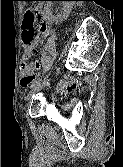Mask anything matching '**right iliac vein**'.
<instances>
[{
  "mask_svg": "<svg viewBox=\"0 0 123 167\" xmlns=\"http://www.w3.org/2000/svg\"><path fill=\"white\" fill-rule=\"evenodd\" d=\"M49 84V80H45L42 83L37 84L28 94L27 96V101H29L31 99V97L39 90H41L42 88H44L46 85Z\"/></svg>",
  "mask_w": 123,
  "mask_h": 167,
  "instance_id": "63e3f726",
  "label": "right iliac vein"
}]
</instances>
